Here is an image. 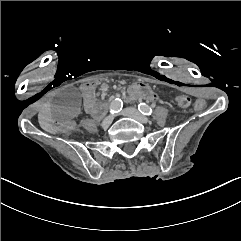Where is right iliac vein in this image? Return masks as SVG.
<instances>
[{
	"instance_id": "63e3f726",
	"label": "right iliac vein",
	"mask_w": 241,
	"mask_h": 241,
	"mask_svg": "<svg viewBox=\"0 0 241 241\" xmlns=\"http://www.w3.org/2000/svg\"><path fill=\"white\" fill-rule=\"evenodd\" d=\"M114 116L113 115H109L108 117H106L103 121H102V128H108L112 121H113Z\"/></svg>"
}]
</instances>
